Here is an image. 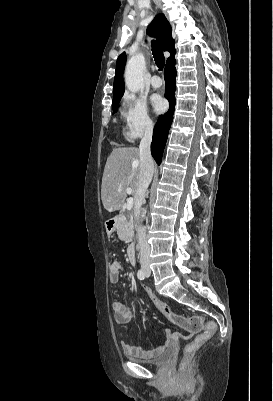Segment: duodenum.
I'll return each mask as SVG.
<instances>
[{
    "label": "duodenum",
    "mask_w": 273,
    "mask_h": 401,
    "mask_svg": "<svg viewBox=\"0 0 273 401\" xmlns=\"http://www.w3.org/2000/svg\"><path fill=\"white\" fill-rule=\"evenodd\" d=\"M117 220H118V216H114V217H112V218H110L108 220V222H107V231L109 233H112L114 231V228H115V225L117 223ZM127 258H128V261H129V263L131 265H135V263H136V249H135V245L134 244H131L128 247Z\"/></svg>",
    "instance_id": "obj_1"
}]
</instances>
